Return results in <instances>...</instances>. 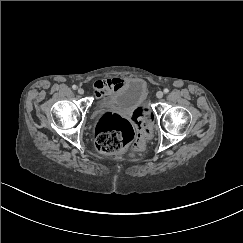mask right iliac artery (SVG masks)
<instances>
[{"instance_id": "right-iliac-artery-1", "label": "right iliac artery", "mask_w": 243, "mask_h": 243, "mask_svg": "<svg viewBox=\"0 0 243 243\" xmlns=\"http://www.w3.org/2000/svg\"><path fill=\"white\" fill-rule=\"evenodd\" d=\"M72 88L75 90V89H77V86L76 85H73Z\"/></svg>"}]
</instances>
